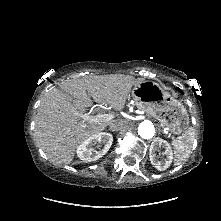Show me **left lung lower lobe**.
Listing matches in <instances>:
<instances>
[{
    "instance_id": "1",
    "label": "left lung lower lobe",
    "mask_w": 221,
    "mask_h": 221,
    "mask_svg": "<svg viewBox=\"0 0 221 221\" xmlns=\"http://www.w3.org/2000/svg\"><path fill=\"white\" fill-rule=\"evenodd\" d=\"M177 90H178L179 92L183 93V92L181 91V89H180V88H177Z\"/></svg>"
}]
</instances>
